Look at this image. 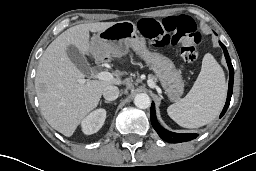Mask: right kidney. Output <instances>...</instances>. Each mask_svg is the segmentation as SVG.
Here are the masks:
<instances>
[{
    "instance_id": "right-kidney-1",
    "label": "right kidney",
    "mask_w": 256,
    "mask_h": 171,
    "mask_svg": "<svg viewBox=\"0 0 256 171\" xmlns=\"http://www.w3.org/2000/svg\"><path fill=\"white\" fill-rule=\"evenodd\" d=\"M106 119V110L97 109L86 116L81 123L82 131L86 135L96 133L104 124Z\"/></svg>"
}]
</instances>
